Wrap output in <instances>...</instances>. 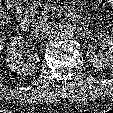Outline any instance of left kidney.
<instances>
[{"label": "left kidney", "mask_w": 113, "mask_h": 113, "mask_svg": "<svg viewBox=\"0 0 113 113\" xmlns=\"http://www.w3.org/2000/svg\"><path fill=\"white\" fill-rule=\"evenodd\" d=\"M103 44L107 45V52L105 54H86V60L90 66L96 69H113V37L101 33L98 38Z\"/></svg>", "instance_id": "1"}]
</instances>
